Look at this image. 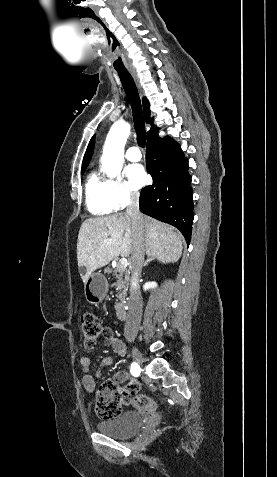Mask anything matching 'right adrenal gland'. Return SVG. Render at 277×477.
<instances>
[{
	"mask_svg": "<svg viewBox=\"0 0 277 477\" xmlns=\"http://www.w3.org/2000/svg\"><path fill=\"white\" fill-rule=\"evenodd\" d=\"M152 260H154V257L151 256L149 258H147V260L145 261L144 265L143 266H147L149 262H151Z\"/></svg>",
	"mask_w": 277,
	"mask_h": 477,
	"instance_id": "obj_1",
	"label": "right adrenal gland"
}]
</instances>
